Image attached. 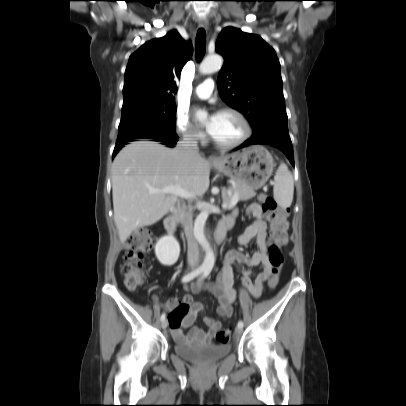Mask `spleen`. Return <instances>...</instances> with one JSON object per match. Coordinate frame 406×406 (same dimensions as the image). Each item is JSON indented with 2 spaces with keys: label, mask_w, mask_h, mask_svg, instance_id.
I'll use <instances>...</instances> for the list:
<instances>
[{
  "label": "spleen",
  "mask_w": 406,
  "mask_h": 406,
  "mask_svg": "<svg viewBox=\"0 0 406 406\" xmlns=\"http://www.w3.org/2000/svg\"><path fill=\"white\" fill-rule=\"evenodd\" d=\"M274 199L282 208L291 206L294 194V180L285 163L281 162L274 176Z\"/></svg>",
  "instance_id": "spleen-1"
}]
</instances>
